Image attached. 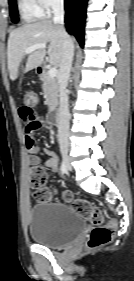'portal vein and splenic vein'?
<instances>
[{"mask_svg":"<svg viewBox=\"0 0 134 281\" xmlns=\"http://www.w3.org/2000/svg\"><path fill=\"white\" fill-rule=\"evenodd\" d=\"M46 48V44H36V45H33L31 47H28L26 50H25V53L26 54H29L37 49H45ZM57 68L56 67H51L48 71V74L50 77L54 78L57 76Z\"/></svg>","mask_w":134,"mask_h":281,"instance_id":"obj_1","label":"portal vein and splenic vein"}]
</instances>
